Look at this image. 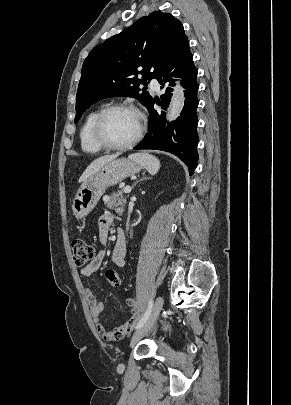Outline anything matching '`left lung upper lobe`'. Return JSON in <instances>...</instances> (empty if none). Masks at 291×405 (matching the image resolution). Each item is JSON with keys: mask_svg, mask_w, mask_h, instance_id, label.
<instances>
[{"mask_svg": "<svg viewBox=\"0 0 291 405\" xmlns=\"http://www.w3.org/2000/svg\"><path fill=\"white\" fill-rule=\"evenodd\" d=\"M185 37L178 19L170 13L154 11L94 47L82 67L75 123L86 109L103 98L130 96L147 107L152 97L139 85L158 76Z\"/></svg>", "mask_w": 291, "mask_h": 405, "instance_id": "obj_1", "label": "left lung upper lobe"}]
</instances>
